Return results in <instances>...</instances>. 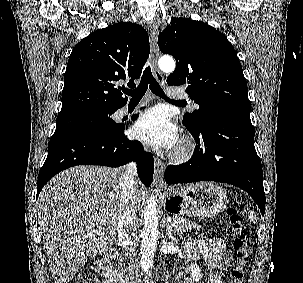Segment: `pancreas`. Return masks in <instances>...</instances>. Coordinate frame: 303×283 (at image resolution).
<instances>
[{
  "instance_id": "cf45deb5",
  "label": "pancreas",
  "mask_w": 303,
  "mask_h": 283,
  "mask_svg": "<svg viewBox=\"0 0 303 283\" xmlns=\"http://www.w3.org/2000/svg\"><path fill=\"white\" fill-rule=\"evenodd\" d=\"M173 223L175 224L174 229L180 230V231H191L194 229H199L201 226L197 224L196 222H193L189 219H186L184 217L175 215L173 216Z\"/></svg>"
}]
</instances>
